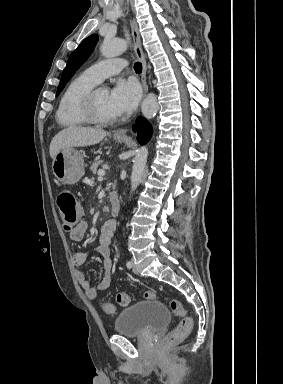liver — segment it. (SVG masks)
Listing matches in <instances>:
<instances>
[{
	"label": "liver",
	"instance_id": "obj_1",
	"mask_svg": "<svg viewBox=\"0 0 283 384\" xmlns=\"http://www.w3.org/2000/svg\"><path fill=\"white\" fill-rule=\"evenodd\" d=\"M107 132L95 130V128H80V126H69L61 130L53 138L49 152L53 160L58 152L65 148H84V146H94L105 138Z\"/></svg>",
	"mask_w": 283,
	"mask_h": 384
}]
</instances>
